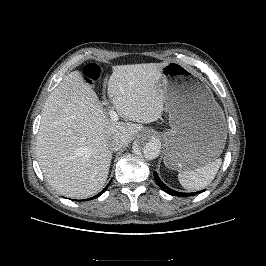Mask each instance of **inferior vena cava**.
Listing matches in <instances>:
<instances>
[{"label": "inferior vena cava", "mask_w": 266, "mask_h": 266, "mask_svg": "<svg viewBox=\"0 0 266 266\" xmlns=\"http://www.w3.org/2000/svg\"><path fill=\"white\" fill-rule=\"evenodd\" d=\"M125 143V139L122 136H113L108 140L107 146L111 151H118Z\"/></svg>", "instance_id": "obj_1"}]
</instances>
